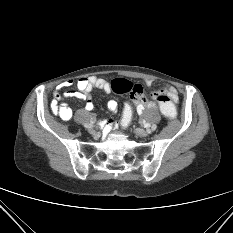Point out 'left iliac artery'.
Instances as JSON below:
<instances>
[{"mask_svg":"<svg viewBox=\"0 0 233 233\" xmlns=\"http://www.w3.org/2000/svg\"><path fill=\"white\" fill-rule=\"evenodd\" d=\"M151 131H156V124H151Z\"/></svg>","mask_w":233,"mask_h":233,"instance_id":"left-iliac-artery-1","label":"left iliac artery"}]
</instances>
